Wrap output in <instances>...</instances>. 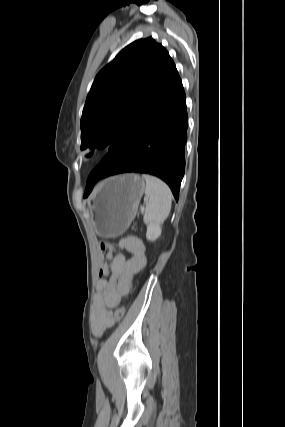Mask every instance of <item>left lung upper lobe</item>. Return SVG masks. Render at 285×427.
I'll return each mask as SVG.
<instances>
[{
	"label": "left lung upper lobe",
	"mask_w": 285,
	"mask_h": 427,
	"mask_svg": "<svg viewBox=\"0 0 285 427\" xmlns=\"http://www.w3.org/2000/svg\"><path fill=\"white\" fill-rule=\"evenodd\" d=\"M172 62L152 37L125 47L96 76L81 117V149L113 150Z\"/></svg>",
	"instance_id": "left-lung-upper-lobe-1"
}]
</instances>
